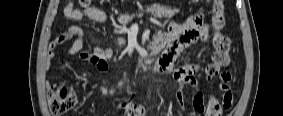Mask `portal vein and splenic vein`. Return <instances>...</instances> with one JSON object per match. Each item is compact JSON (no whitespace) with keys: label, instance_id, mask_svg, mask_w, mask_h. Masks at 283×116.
<instances>
[{"label":"portal vein and splenic vein","instance_id":"obj_1","mask_svg":"<svg viewBox=\"0 0 283 116\" xmlns=\"http://www.w3.org/2000/svg\"><path fill=\"white\" fill-rule=\"evenodd\" d=\"M150 21H151V22H155L156 20H155V19H153V18H150Z\"/></svg>","mask_w":283,"mask_h":116}]
</instances>
